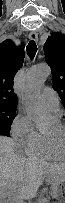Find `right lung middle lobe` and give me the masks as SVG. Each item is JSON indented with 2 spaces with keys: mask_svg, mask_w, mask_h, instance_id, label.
I'll return each instance as SVG.
<instances>
[{
  "mask_svg": "<svg viewBox=\"0 0 65 203\" xmlns=\"http://www.w3.org/2000/svg\"><path fill=\"white\" fill-rule=\"evenodd\" d=\"M17 105L0 103V135L9 136L10 127L16 115Z\"/></svg>",
  "mask_w": 65,
  "mask_h": 203,
  "instance_id": "obj_1",
  "label": "right lung middle lobe"
}]
</instances>
